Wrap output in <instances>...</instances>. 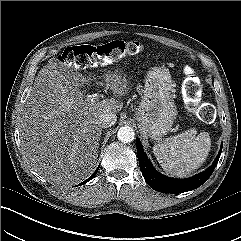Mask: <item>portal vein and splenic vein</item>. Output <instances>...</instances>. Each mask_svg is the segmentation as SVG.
<instances>
[{
	"instance_id": "portal-vein-and-splenic-vein-1",
	"label": "portal vein and splenic vein",
	"mask_w": 241,
	"mask_h": 241,
	"mask_svg": "<svg viewBox=\"0 0 241 241\" xmlns=\"http://www.w3.org/2000/svg\"><path fill=\"white\" fill-rule=\"evenodd\" d=\"M89 98H92L94 100H97L98 99V96L96 94H93V95H88Z\"/></svg>"
}]
</instances>
